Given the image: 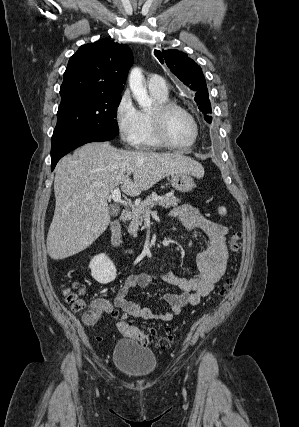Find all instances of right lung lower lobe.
Listing matches in <instances>:
<instances>
[{
  "label": "right lung lower lobe",
  "mask_w": 299,
  "mask_h": 427,
  "mask_svg": "<svg viewBox=\"0 0 299 427\" xmlns=\"http://www.w3.org/2000/svg\"><path fill=\"white\" fill-rule=\"evenodd\" d=\"M115 135L105 134H76L64 137L52 143L51 147V170H53L57 162L73 149L89 143L102 142L113 139Z\"/></svg>",
  "instance_id": "right-lung-lower-lobe-1"
}]
</instances>
